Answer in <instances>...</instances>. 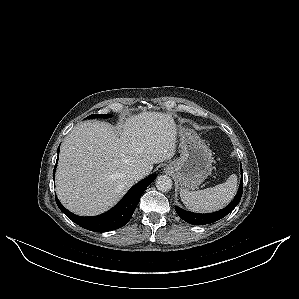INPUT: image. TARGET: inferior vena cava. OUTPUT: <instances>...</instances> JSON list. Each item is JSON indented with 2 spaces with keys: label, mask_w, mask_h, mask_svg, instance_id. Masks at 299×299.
I'll list each match as a JSON object with an SVG mask.
<instances>
[{
  "label": "inferior vena cava",
  "mask_w": 299,
  "mask_h": 299,
  "mask_svg": "<svg viewBox=\"0 0 299 299\" xmlns=\"http://www.w3.org/2000/svg\"><path fill=\"white\" fill-rule=\"evenodd\" d=\"M145 170L142 168H135L133 170L130 171V177L134 180V181H138L140 179H142L145 176Z\"/></svg>",
  "instance_id": "602c4592"
}]
</instances>
